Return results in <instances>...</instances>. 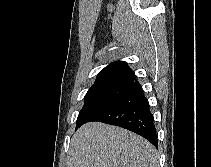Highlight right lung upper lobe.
I'll return each instance as SVG.
<instances>
[{
    "label": "right lung upper lobe",
    "mask_w": 211,
    "mask_h": 167,
    "mask_svg": "<svg viewBox=\"0 0 211 167\" xmlns=\"http://www.w3.org/2000/svg\"><path fill=\"white\" fill-rule=\"evenodd\" d=\"M135 78L134 72L130 69L128 64L125 61H116L104 69H102L96 81L102 80H125V81H133Z\"/></svg>",
    "instance_id": "obj_1"
}]
</instances>
